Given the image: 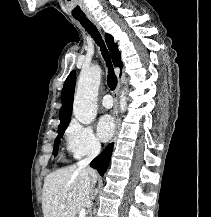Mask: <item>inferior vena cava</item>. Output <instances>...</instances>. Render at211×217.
I'll return each mask as SVG.
<instances>
[{
	"instance_id": "inferior-vena-cava-1",
	"label": "inferior vena cava",
	"mask_w": 211,
	"mask_h": 217,
	"mask_svg": "<svg viewBox=\"0 0 211 217\" xmlns=\"http://www.w3.org/2000/svg\"><path fill=\"white\" fill-rule=\"evenodd\" d=\"M100 149H101V146L99 143L95 144L92 146L88 156L83 159V160H80L78 163H77V166L79 168H87V166L90 164V162L97 156V154L100 152ZM93 186L94 184H92L91 188H90V193L93 194Z\"/></svg>"
}]
</instances>
